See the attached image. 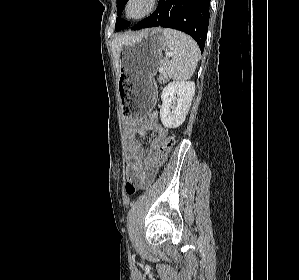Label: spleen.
I'll return each mask as SVG.
<instances>
[{"mask_svg":"<svg viewBox=\"0 0 299 280\" xmlns=\"http://www.w3.org/2000/svg\"><path fill=\"white\" fill-rule=\"evenodd\" d=\"M172 59L166 64L169 78L185 81L192 77L197 67L200 51L197 43L188 35L166 28L163 30Z\"/></svg>","mask_w":299,"mask_h":280,"instance_id":"spleen-1","label":"spleen"}]
</instances>
